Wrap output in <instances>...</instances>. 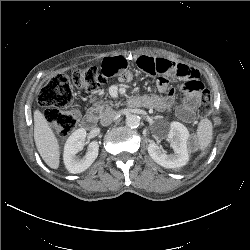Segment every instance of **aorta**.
<instances>
[{"mask_svg":"<svg viewBox=\"0 0 250 250\" xmlns=\"http://www.w3.org/2000/svg\"><path fill=\"white\" fill-rule=\"evenodd\" d=\"M126 125L130 128H137L140 124V117L135 114H130L126 117Z\"/></svg>","mask_w":250,"mask_h":250,"instance_id":"1","label":"aorta"}]
</instances>
